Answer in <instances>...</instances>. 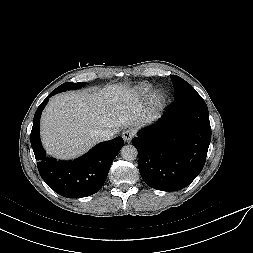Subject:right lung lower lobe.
I'll return each mask as SVG.
<instances>
[{"instance_id":"98d812e1","label":"right lung lower lobe","mask_w":253,"mask_h":253,"mask_svg":"<svg viewBox=\"0 0 253 253\" xmlns=\"http://www.w3.org/2000/svg\"><path fill=\"white\" fill-rule=\"evenodd\" d=\"M54 90L37 108L31 131V146L38 160V171L42 179L59 195L81 198L98 192L106 181L111 164L124 145L122 137L102 142L87 154L72 161H57L46 156L40 136L41 113L49 98L58 93Z\"/></svg>"}]
</instances>
